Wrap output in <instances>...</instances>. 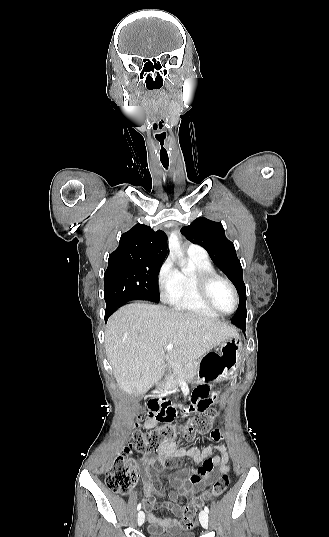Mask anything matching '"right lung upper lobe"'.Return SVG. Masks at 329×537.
Wrapping results in <instances>:
<instances>
[{
	"label": "right lung upper lobe",
	"mask_w": 329,
	"mask_h": 537,
	"mask_svg": "<svg viewBox=\"0 0 329 537\" xmlns=\"http://www.w3.org/2000/svg\"><path fill=\"white\" fill-rule=\"evenodd\" d=\"M166 255V234L139 223L121 235L118 248L109 256L108 268L163 262Z\"/></svg>",
	"instance_id": "obj_1"
}]
</instances>
